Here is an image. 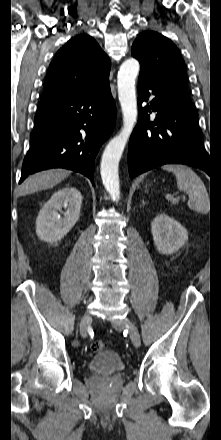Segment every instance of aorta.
<instances>
[{
	"label": "aorta",
	"mask_w": 221,
	"mask_h": 440,
	"mask_svg": "<svg viewBox=\"0 0 221 440\" xmlns=\"http://www.w3.org/2000/svg\"><path fill=\"white\" fill-rule=\"evenodd\" d=\"M139 69V62L133 58L127 59L120 66L117 77V88L123 115V127L107 144L101 160L100 172L103 185L114 200L120 197L119 161L138 116L135 80Z\"/></svg>",
	"instance_id": "762f6f07"
}]
</instances>
